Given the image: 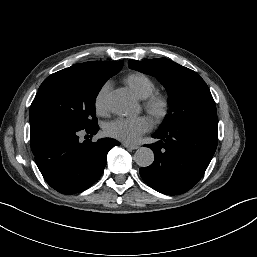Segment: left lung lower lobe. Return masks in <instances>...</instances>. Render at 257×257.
I'll use <instances>...</instances> for the list:
<instances>
[{
    "mask_svg": "<svg viewBox=\"0 0 257 257\" xmlns=\"http://www.w3.org/2000/svg\"><path fill=\"white\" fill-rule=\"evenodd\" d=\"M216 113L196 116L152 137L145 145L154 152L152 165L140 168L142 179L158 192L177 195L191 189L203 176L217 147Z\"/></svg>",
    "mask_w": 257,
    "mask_h": 257,
    "instance_id": "left-lung-lower-lobe-1",
    "label": "left lung lower lobe"
}]
</instances>
